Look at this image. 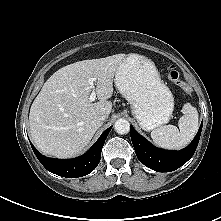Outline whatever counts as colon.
<instances>
[{
    "label": "colon",
    "mask_w": 221,
    "mask_h": 221,
    "mask_svg": "<svg viewBox=\"0 0 221 221\" xmlns=\"http://www.w3.org/2000/svg\"><path fill=\"white\" fill-rule=\"evenodd\" d=\"M167 77L171 83L177 86L184 93H189L188 85L180 78L179 72L175 66H169L167 69Z\"/></svg>",
    "instance_id": "1"
}]
</instances>
